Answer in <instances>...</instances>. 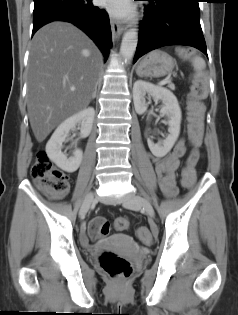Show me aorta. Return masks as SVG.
I'll list each match as a JSON object with an SVG mask.
<instances>
[{
  "mask_svg": "<svg viewBox=\"0 0 238 315\" xmlns=\"http://www.w3.org/2000/svg\"><path fill=\"white\" fill-rule=\"evenodd\" d=\"M138 42V33L135 28L126 30L122 38L120 54L125 62H129L134 56Z\"/></svg>",
  "mask_w": 238,
  "mask_h": 315,
  "instance_id": "762f6f07",
  "label": "aorta"
}]
</instances>
